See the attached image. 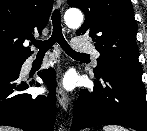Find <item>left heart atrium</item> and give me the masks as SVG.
<instances>
[{"label": "left heart atrium", "mask_w": 147, "mask_h": 131, "mask_svg": "<svg viewBox=\"0 0 147 131\" xmlns=\"http://www.w3.org/2000/svg\"><path fill=\"white\" fill-rule=\"evenodd\" d=\"M63 85H64L65 88L71 89L74 86V78L70 75H67L63 79Z\"/></svg>", "instance_id": "left-heart-atrium-1"}]
</instances>
